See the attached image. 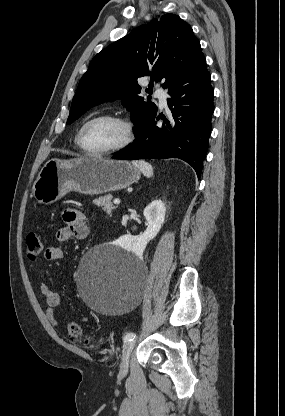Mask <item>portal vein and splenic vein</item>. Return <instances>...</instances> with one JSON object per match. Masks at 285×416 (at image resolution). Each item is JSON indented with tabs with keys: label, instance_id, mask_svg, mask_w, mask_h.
I'll return each mask as SVG.
<instances>
[{
	"label": "portal vein and splenic vein",
	"instance_id": "obj_1",
	"mask_svg": "<svg viewBox=\"0 0 285 416\" xmlns=\"http://www.w3.org/2000/svg\"><path fill=\"white\" fill-rule=\"evenodd\" d=\"M113 204H120V200H113Z\"/></svg>",
	"mask_w": 285,
	"mask_h": 416
}]
</instances>
